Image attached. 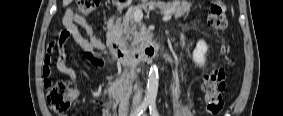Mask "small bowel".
Returning <instances> with one entry per match:
<instances>
[{
  "label": "small bowel",
  "instance_id": "c3829d8e",
  "mask_svg": "<svg viewBox=\"0 0 283 116\" xmlns=\"http://www.w3.org/2000/svg\"><path fill=\"white\" fill-rule=\"evenodd\" d=\"M62 23L64 30L60 34L58 43L52 42L48 45V54L45 56L44 74L45 76H48L51 72L52 67L55 66L60 73L69 78L71 84L73 85L74 93L76 96H78L80 90L78 86L77 74L75 70L67 64L63 50V44L69 37H72L76 44L86 52L87 58L94 63H98V59L94 57L93 52L102 51L105 49V46L96 37L85 17L73 12L71 9H67L65 11ZM80 28L87 33L89 40H86L83 37ZM64 34H66V36H64ZM55 49L58 50V54L56 59L54 60L51 53ZM95 102L102 107L100 111L101 116L111 115L113 107L110 106L106 101L96 100ZM125 110V107L122 106L121 115H124L126 113Z\"/></svg>",
  "mask_w": 283,
  "mask_h": 116
}]
</instances>
